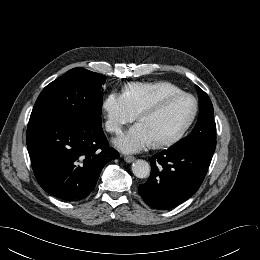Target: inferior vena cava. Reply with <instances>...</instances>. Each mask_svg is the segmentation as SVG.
<instances>
[{"label": "inferior vena cava", "instance_id": "1", "mask_svg": "<svg viewBox=\"0 0 260 260\" xmlns=\"http://www.w3.org/2000/svg\"><path fill=\"white\" fill-rule=\"evenodd\" d=\"M117 128H118V126H117L116 124H114V123H108V124H107V129H108L109 131L116 130Z\"/></svg>", "mask_w": 260, "mask_h": 260}]
</instances>
